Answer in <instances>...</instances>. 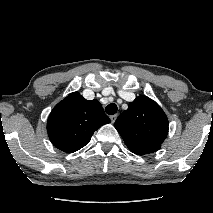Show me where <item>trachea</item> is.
<instances>
[{
	"label": "trachea",
	"instance_id": "1",
	"mask_svg": "<svg viewBox=\"0 0 213 213\" xmlns=\"http://www.w3.org/2000/svg\"><path fill=\"white\" fill-rule=\"evenodd\" d=\"M117 105L115 103H111L106 106L105 111L108 115H114L117 112Z\"/></svg>",
	"mask_w": 213,
	"mask_h": 213
}]
</instances>
